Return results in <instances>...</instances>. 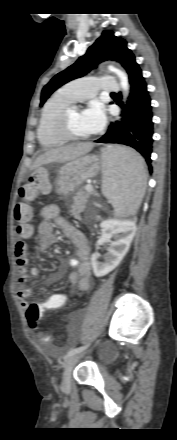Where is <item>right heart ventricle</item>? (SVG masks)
Returning <instances> with one entry per match:
<instances>
[{"label": "right heart ventricle", "mask_w": 177, "mask_h": 440, "mask_svg": "<svg viewBox=\"0 0 177 440\" xmlns=\"http://www.w3.org/2000/svg\"><path fill=\"white\" fill-rule=\"evenodd\" d=\"M74 102V98L64 87L47 100L41 111L37 127V138L43 148H53L63 143L54 130V124L60 111Z\"/></svg>", "instance_id": "1"}]
</instances>
